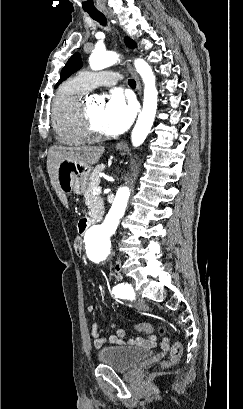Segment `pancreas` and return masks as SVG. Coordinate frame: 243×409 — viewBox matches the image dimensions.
<instances>
[{"label": "pancreas", "mask_w": 243, "mask_h": 409, "mask_svg": "<svg viewBox=\"0 0 243 409\" xmlns=\"http://www.w3.org/2000/svg\"><path fill=\"white\" fill-rule=\"evenodd\" d=\"M105 165H98L89 177V184L86 188L84 198L85 204L90 210V216L94 219L100 218L104 213L103 199L99 195H93V189L100 184L99 173L102 172Z\"/></svg>", "instance_id": "obj_1"}]
</instances>
